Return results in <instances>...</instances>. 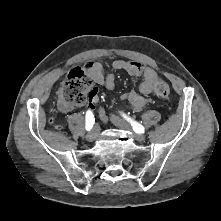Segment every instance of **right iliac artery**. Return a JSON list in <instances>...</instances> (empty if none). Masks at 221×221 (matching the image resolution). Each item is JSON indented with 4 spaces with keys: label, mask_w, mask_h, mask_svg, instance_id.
Returning a JSON list of instances; mask_svg holds the SVG:
<instances>
[{
    "label": "right iliac artery",
    "mask_w": 221,
    "mask_h": 221,
    "mask_svg": "<svg viewBox=\"0 0 221 221\" xmlns=\"http://www.w3.org/2000/svg\"><path fill=\"white\" fill-rule=\"evenodd\" d=\"M95 118L91 111H87L86 113V130L90 131L94 125Z\"/></svg>",
    "instance_id": "obj_1"
}]
</instances>
